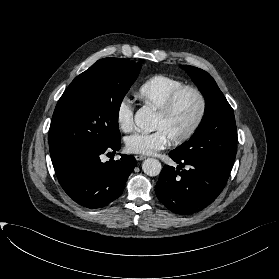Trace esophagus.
Returning <instances> with one entry per match:
<instances>
[{"label":"esophagus","mask_w":279,"mask_h":279,"mask_svg":"<svg viewBox=\"0 0 279 279\" xmlns=\"http://www.w3.org/2000/svg\"><path fill=\"white\" fill-rule=\"evenodd\" d=\"M146 158V156L144 155H135V159L138 161L144 160Z\"/></svg>","instance_id":"34e87169"}]
</instances>
